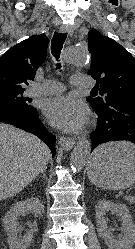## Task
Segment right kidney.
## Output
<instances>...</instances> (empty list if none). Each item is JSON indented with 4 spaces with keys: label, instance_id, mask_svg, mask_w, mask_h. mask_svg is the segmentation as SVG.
<instances>
[{
    "label": "right kidney",
    "instance_id": "ca27d5eb",
    "mask_svg": "<svg viewBox=\"0 0 135 249\" xmlns=\"http://www.w3.org/2000/svg\"><path fill=\"white\" fill-rule=\"evenodd\" d=\"M27 211H31L35 216H42L44 214V206L38 198L16 202L3 219L4 230L8 236L7 241L10 249H27L33 238L32 232H27L24 236H18L17 219Z\"/></svg>",
    "mask_w": 135,
    "mask_h": 249
}]
</instances>
